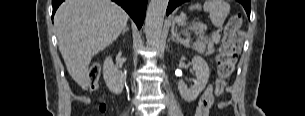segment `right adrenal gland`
<instances>
[{"label":"right adrenal gland","mask_w":305,"mask_h":116,"mask_svg":"<svg viewBox=\"0 0 305 116\" xmlns=\"http://www.w3.org/2000/svg\"><path fill=\"white\" fill-rule=\"evenodd\" d=\"M127 31H129V28H128V27H125V28L123 29V31H122V35H124L125 32H127Z\"/></svg>","instance_id":"2a0ac1e0"}]
</instances>
